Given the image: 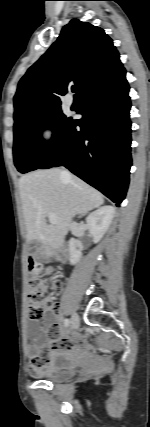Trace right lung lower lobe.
<instances>
[{
    "label": "right lung lower lobe",
    "instance_id": "1",
    "mask_svg": "<svg viewBox=\"0 0 150 427\" xmlns=\"http://www.w3.org/2000/svg\"><path fill=\"white\" fill-rule=\"evenodd\" d=\"M125 74L120 65L78 96L83 117L70 120L52 152L38 167L64 165L116 206L125 198L132 165L131 103ZM76 126L81 131H76Z\"/></svg>",
    "mask_w": 150,
    "mask_h": 427
}]
</instances>
